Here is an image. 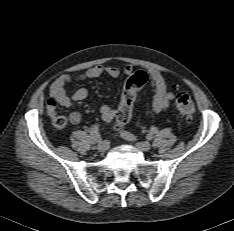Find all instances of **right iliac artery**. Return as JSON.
Returning <instances> with one entry per match:
<instances>
[{
	"mask_svg": "<svg viewBox=\"0 0 234 231\" xmlns=\"http://www.w3.org/2000/svg\"><path fill=\"white\" fill-rule=\"evenodd\" d=\"M100 141V136H99V125H93L90 128V142L92 144H95Z\"/></svg>",
	"mask_w": 234,
	"mask_h": 231,
	"instance_id": "82829eb1",
	"label": "right iliac artery"
}]
</instances>
